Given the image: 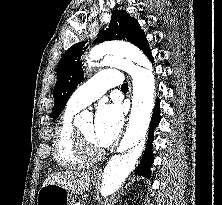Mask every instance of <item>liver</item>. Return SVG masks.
<instances>
[{
    "mask_svg": "<svg viewBox=\"0 0 222 205\" xmlns=\"http://www.w3.org/2000/svg\"><path fill=\"white\" fill-rule=\"evenodd\" d=\"M92 172L65 171L49 175L43 185H60L72 194H81L89 190Z\"/></svg>",
    "mask_w": 222,
    "mask_h": 205,
    "instance_id": "1",
    "label": "liver"
}]
</instances>
